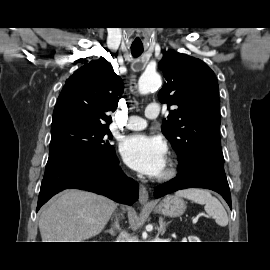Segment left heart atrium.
<instances>
[{
	"instance_id": "1",
	"label": "left heart atrium",
	"mask_w": 270,
	"mask_h": 270,
	"mask_svg": "<svg viewBox=\"0 0 270 270\" xmlns=\"http://www.w3.org/2000/svg\"><path fill=\"white\" fill-rule=\"evenodd\" d=\"M119 150L125 163L141 174L156 177L166 167L167 146L159 137L131 135L122 140Z\"/></svg>"
}]
</instances>
